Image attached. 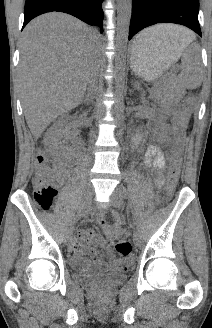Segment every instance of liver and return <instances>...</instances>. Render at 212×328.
Segmentation results:
<instances>
[{
    "label": "liver",
    "mask_w": 212,
    "mask_h": 328,
    "mask_svg": "<svg viewBox=\"0 0 212 328\" xmlns=\"http://www.w3.org/2000/svg\"><path fill=\"white\" fill-rule=\"evenodd\" d=\"M145 37L182 46L195 39L177 25L148 28ZM98 36L82 21L63 13H47L24 29L20 45L19 86L26 122L35 139L59 115L83 100L93 70Z\"/></svg>",
    "instance_id": "obj_1"
}]
</instances>
